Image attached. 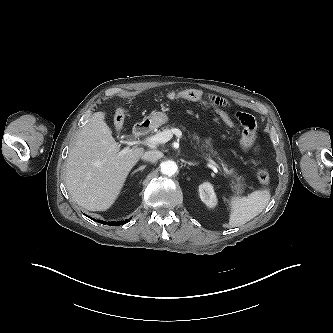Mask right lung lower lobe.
Masks as SVG:
<instances>
[{
	"label": "right lung lower lobe",
	"mask_w": 333,
	"mask_h": 333,
	"mask_svg": "<svg viewBox=\"0 0 333 333\" xmlns=\"http://www.w3.org/2000/svg\"><path fill=\"white\" fill-rule=\"evenodd\" d=\"M94 220V219H93ZM95 221H97V222H99V223H102V224H107V225H116V226H118V225H123V224H125V223H127V222H129L130 220L129 219H127V220H125V221H113V222H105V221H102V220H95Z\"/></svg>",
	"instance_id": "98d812e1"
}]
</instances>
